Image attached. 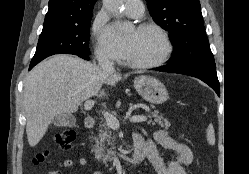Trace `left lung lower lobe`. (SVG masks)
<instances>
[{
  "mask_svg": "<svg viewBox=\"0 0 249 174\" xmlns=\"http://www.w3.org/2000/svg\"><path fill=\"white\" fill-rule=\"evenodd\" d=\"M162 72L179 73L196 77L203 82L207 83L214 91L220 96V85L216 73V66H194L187 67L184 69H174L170 66L157 69Z\"/></svg>",
  "mask_w": 249,
  "mask_h": 174,
  "instance_id": "0a47b994",
  "label": "left lung lower lobe"
}]
</instances>
